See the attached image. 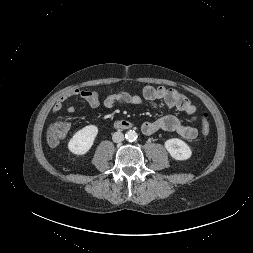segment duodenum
Returning a JSON list of instances; mask_svg holds the SVG:
<instances>
[{"label": "duodenum", "mask_w": 253, "mask_h": 253, "mask_svg": "<svg viewBox=\"0 0 253 253\" xmlns=\"http://www.w3.org/2000/svg\"><path fill=\"white\" fill-rule=\"evenodd\" d=\"M114 126L119 129H128L132 127V123L127 120H118L114 123Z\"/></svg>", "instance_id": "duodenum-1"}]
</instances>
